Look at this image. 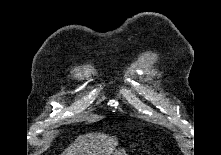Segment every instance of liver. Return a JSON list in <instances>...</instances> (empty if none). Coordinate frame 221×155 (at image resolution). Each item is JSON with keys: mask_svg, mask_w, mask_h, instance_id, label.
Instances as JSON below:
<instances>
[{"mask_svg": "<svg viewBox=\"0 0 221 155\" xmlns=\"http://www.w3.org/2000/svg\"><path fill=\"white\" fill-rule=\"evenodd\" d=\"M118 140L101 132L78 136L62 155H112Z\"/></svg>", "mask_w": 221, "mask_h": 155, "instance_id": "1", "label": "liver"}]
</instances>
